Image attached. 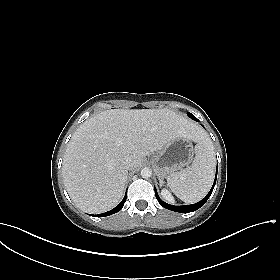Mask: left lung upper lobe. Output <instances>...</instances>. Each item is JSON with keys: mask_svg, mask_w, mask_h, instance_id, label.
<instances>
[{"mask_svg": "<svg viewBox=\"0 0 280 280\" xmlns=\"http://www.w3.org/2000/svg\"><path fill=\"white\" fill-rule=\"evenodd\" d=\"M191 115H192V114L188 112V116H189L190 118H191ZM193 116H194V115H193ZM194 117H195V116H194ZM193 120H194V119H193Z\"/></svg>", "mask_w": 280, "mask_h": 280, "instance_id": "1", "label": "left lung upper lobe"}]
</instances>
